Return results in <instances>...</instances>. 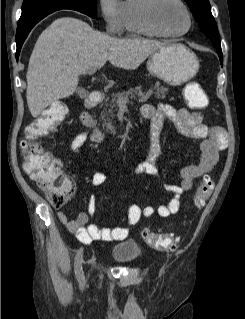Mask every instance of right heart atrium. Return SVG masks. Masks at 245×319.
Here are the masks:
<instances>
[{
    "instance_id": "d8ad5b80",
    "label": "right heart atrium",
    "mask_w": 245,
    "mask_h": 319,
    "mask_svg": "<svg viewBox=\"0 0 245 319\" xmlns=\"http://www.w3.org/2000/svg\"><path fill=\"white\" fill-rule=\"evenodd\" d=\"M98 2L107 33L121 34L123 31L122 2L120 0H99Z\"/></svg>"
}]
</instances>
